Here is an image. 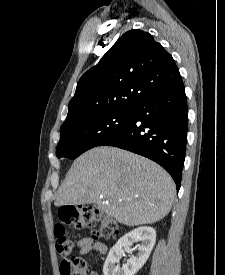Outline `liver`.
<instances>
[{"instance_id": "1", "label": "liver", "mask_w": 225, "mask_h": 275, "mask_svg": "<svg viewBox=\"0 0 225 275\" xmlns=\"http://www.w3.org/2000/svg\"><path fill=\"white\" fill-rule=\"evenodd\" d=\"M175 194L171 176L155 162L119 148L95 147L74 161L54 205L94 203L119 223L138 226L164 218Z\"/></svg>"}]
</instances>
